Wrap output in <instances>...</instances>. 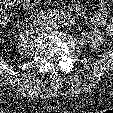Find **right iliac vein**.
I'll return each instance as SVG.
<instances>
[{
    "mask_svg": "<svg viewBox=\"0 0 113 113\" xmlns=\"http://www.w3.org/2000/svg\"><path fill=\"white\" fill-rule=\"evenodd\" d=\"M49 28V24H48V22H44L42 25H41V29H43V30H46V29H48Z\"/></svg>",
    "mask_w": 113,
    "mask_h": 113,
    "instance_id": "obj_1",
    "label": "right iliac vein"
}]
</instances>
